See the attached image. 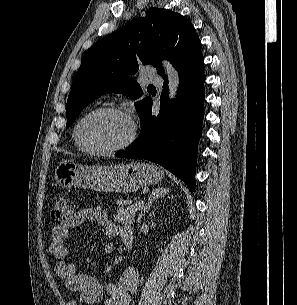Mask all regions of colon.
I'll use <instances>...</instances> for the list:
<instances>
[{"mask_svg":"<svg viewBox=\"0 0 297 305\" xmlns=\"http://www.w3.org/2000/svg\"><path fill=\"white\" fill-rule=\"evenodd\" d=\"M76 205L67 195H59L51 211V218L61 222L72 217L75 213Z\"/></svg>","mask_w":297,"mask_h":305,"instance_id":"1","label":"colon"}]
</instances>
